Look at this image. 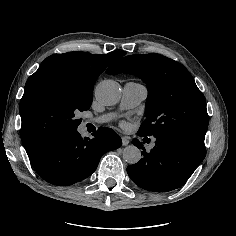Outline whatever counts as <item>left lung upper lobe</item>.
<instances>
[{"mask_svg":"<svg viewBox=\"0 0 236 236\" xmlns=\"http://www.w3.org/2000/svg\"><path fill=\"white\" fill-rule=\"evenodd\" d=\"M107 74L128 73L147 85V119L139 136L168 133L204 143L208 128L206 100L194 78L180 63L159 54L126 56Z\"/></svg>","mask_w":236,"mask_h":236,"instance_id":"1","label":"left lung upper lobe"}]
</instances>
